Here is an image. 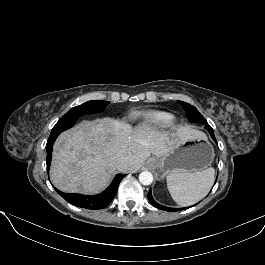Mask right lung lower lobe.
<instances>
[{
	"label": "right lung lower lobe",
	"instance_id": "98d812e1",
	"mask_svg": "<svg viewBox=\"0 0 265 265\" xmlns=\"http://www.w3.org/2000/svg\"><path fill=\"white\" fill-rule=\"evenodd\" d=\"M78 118H70L66 122L59 124L57 123L48 138L47 144H46V150H47V171L49 172V167L52 159V148L53 144L58 137V135L63 132L64 130L71 128L74 123L76 122ZM124 174H117L112 181V183L109 185V187L103 191L102 193L94 196H86L82 194H67L63 193L55 188L57 193L61 195L67 202L71 203L72 205H75L77 207L81 208H87V209H102L106 207L114 198L118 186L123 179Z\"/></svg>",
	"mask_w": 265,
	"mask_h": 265
}]
</instances>
